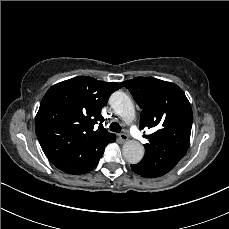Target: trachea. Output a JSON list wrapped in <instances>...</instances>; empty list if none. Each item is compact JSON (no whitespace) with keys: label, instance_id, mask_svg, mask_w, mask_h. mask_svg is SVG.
Wrapping results in <instances>:
<instances>
[{"label":"trachea","instance_id":"trachea-1","mask_svg":"<svg viewBox=\"0 0 229 229\" xmlns=\"http://www.w3.org/2000/svg\"><path fill=\"white\" fill-rule=\"evenodd\" d=\"M110 130L111 131H113V132H115V133H120L121 132V130H122V127L120 126V124L119 123H117V122H112L111 124H110Z\"/></svg>","mask_w":229,"mask_h":229}]
</instances>
